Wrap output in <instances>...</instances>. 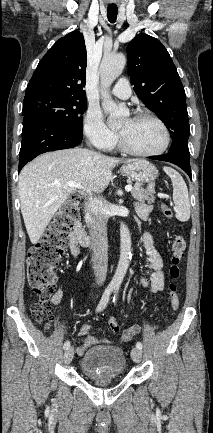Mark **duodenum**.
<instances>
[{
    "label": "duodenum",
    "instance_id": "410a0bca",
    "mask_svg": "<svg viewBox=\"0 0 213 433\" xmlns=\"http://www.w3.org/2000/svg\"><path fill=\"white\" fill-rule=\"evenodd\" d=\"M73 234L80 246L88 247L94 245L97 240L88 235L81 223L76 220L74 223Z\"/></svg>",
    "mask_w": 213,
    "mask_h": 433
}]
</instances>
